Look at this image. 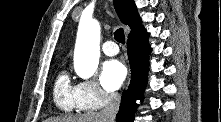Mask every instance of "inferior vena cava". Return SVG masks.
Masks as SVG:
<instances>
[{
  "label": "inferior vena cava",
  "instance_id": "1",
  "mask_svg": "<svg viewBox=\"0 0 221 122\" xmlns=\"http://www.w3.org/2000/svg\"><path fill=\"white\" fill-rule=\"evenodd\" d=\"M120 95L117 93H110L107 96V103L100 112L101 116L108 119V122H114L116 114L120 106Z\"/></svg>",
  "mask_w": 221,
  "mask_h": 122
}]
</instances>
